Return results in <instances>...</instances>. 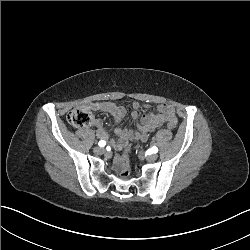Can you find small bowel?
Instances as JSON below:
<instances>
[{"mask_svg":"<svg viewBox=\"0 0 250 250\" xmlns=\"http://www.w3.org/2000/svg\"><path fill=\"white\" fill-rule=\"evenodd\" d=\"M81 106L86 109L110 114L114 118L117 140L113 142V146L119 150L122 149L129 140H146L150 132L164 125L166 118H174L177 120L173 107L167 103L158 105L155 112H150L142 116L139 115L140 105L133 103L131 115L134 119L138 120V130L132 131L119 126L126 114V109L123 106L110 102H86ZM93 124L96 128L98 138L108 140L109 133L103 126L102 121L95 119Z\"/></svg>","mask_w":250,"mask_h":250,"instance_id":"1","label":"small bowel"}]
</instances>
